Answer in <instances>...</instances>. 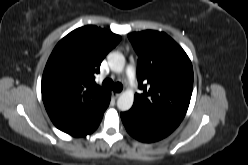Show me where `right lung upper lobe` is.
<instances>
[{"mask_svg":"<svg viewBox=\"0 0 248 165\" xmlns=\"http://www.w3.org/2000/svg\"><path fill=\"white\" fill-rule=\"evenodd\" d=\"M121 40L109 30L88 25L75 29L56 45L44 69L41 91L54 125L75 131L101 114L110 92L94 81L107 53Z\"/></svg>","mask_w":248,"mask_h":165,"instance_id":"1","label":"right lung upper lobe"}]
</instances>
